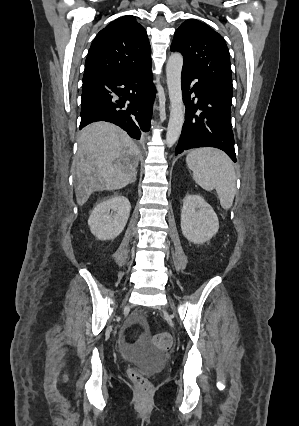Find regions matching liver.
Wrapping results in <instances>:
<instances>
[{"label": "liver", "mask_w": 299, "mask_h": 426, "mask_svg": "<svg viewBox=\"0 0 299 426\" xmlns=\"http://www.w3.org/2000/svg\"><path fill=\"white\" fill-rule=\"evenodd\" d=\"M140 150L122 129L107 122L86 126L78 137L75 194L83 205L95 191L121 189L136 176Z\"/></svg>", "instance_id": "obj_1"}]
</instances>
